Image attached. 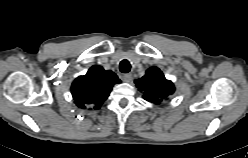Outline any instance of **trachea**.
Masks as SVG:
<instances>
[{
  "instance_id": "1",
  "label": "trachea",
  "mask_w": 248,
  "mask_h": 158,
  "mask_svg": "<svg viewBox=\"0 0 248 158\" xmlns=\"http://www.w3.org/2000/svg\"><path fill=\"white\" fill-rule=\"evenodd\" d=\"M130 69H131V65L128 60L124 59L120 62V71L122 73H128Z\"/></svg>"
}]
</instances>
